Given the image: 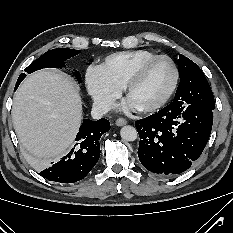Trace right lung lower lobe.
Instances as JSON below:
<instances>
[{"label": "right lung lower lobe", "mask_w": 233, "mask_h": 233, "mask_svg": "<svg viewBox=\"0 0 233 233\" xmlns=\"http://www.w3.org/2000/svg\"><path fill=\"white\" fill-rule=\"evenodd\" d=\"M22 80L18 78L15 90ZM109 130L110 122L107 119L97 121L84 119L76 136V143L70 152L57 163L52 162L51 167L39 174L59 183H73L83 179L99 160V140L102 134Z\"/></svg>", "instance_id": "right-lung-lower-lobe-1"}]
</instances>
